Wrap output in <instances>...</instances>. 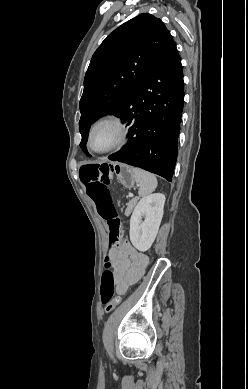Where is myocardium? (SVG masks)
Listing matches in <instances>:
<instances>
[{
  "label": "myocardium",
  "instance_id": "f54148a6",
  "mask_svg": "<svg viewBox=\"0 0 248 389\" xmlns=\"http://www.w3.org/2000/svg\"><path fill=\"white\" fill-rule=\"evenodd\" d=\"M111 126L114 129L115 136L111 143L104 148H96L94 140L96 132L102 126ZM128 137V128L126 123L117 116L109 115L96 120L90 127L88 133V147L95 153L105 154L123 145Z\"/></svg>",
  "mask_w": 248,
  "mask_h": 389
}]
</instances>
